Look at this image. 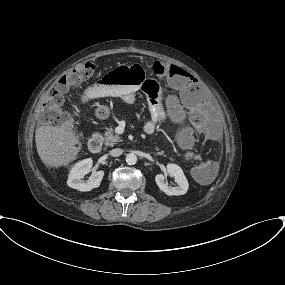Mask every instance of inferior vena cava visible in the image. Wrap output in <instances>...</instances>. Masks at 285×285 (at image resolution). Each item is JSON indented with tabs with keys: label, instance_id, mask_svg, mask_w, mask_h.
I'll list each match as a JSON object with an SVG mask.
<instances>
[{
	"label": "inferior vena cava",
	"instance_id": "1",
	"mask_svg": "<svg viewBox=\"0 0 285 285\" xmlns=\"http://www.w3.org/2000/svg\"><path fill=\"white\" fill-rule=\"evenodd\" d=\"M122 153H123V150L121 148H115L110 151V155L113 157H118L122 155Z\"/></svg>",
	"mask_w": 285,
	"mask_h": 285
}]
</instances>
